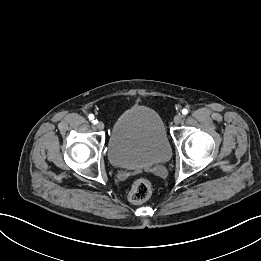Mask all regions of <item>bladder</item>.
Wrapping results in <instances>:
<instances>
[{"label": "bladder", "instance_id": "bladder-1", "mask_svg": "<svg viewBox=\"0 0 261 261\" xmlns=\"http://www.w3.org/2000/svg\"><path fill=\"white\" fill-rule=\"evenodd\" d=\"M172 148L163 120L153 109L133 106L115 120L107 155L118 168L134 169L168 161Z\"/></svg>", "mask_w": 261, "mask_h": 261}]
</instances>
